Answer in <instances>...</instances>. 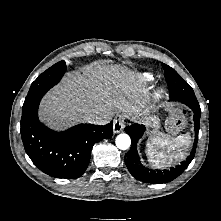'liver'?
<instances>
[{"mask_svg": "<svg viewBox=\"0 0 221 221\" xmlns=\"http://www.w3.org/2000/svg\"><path fill=\"white\" fill-rule=\"evenodd\" d=\"M142 85L133 72L120 65L93 62L70 72L47 93L39 116L51 128L62 130L75 123L106 124L114 111L138 112ZM98 118L88 120L89 114Z\"/></svg>", "mask_w": 221, "mask_h": 221, "instance_id": "liver-1", "label": "liver"}]
</instances>
